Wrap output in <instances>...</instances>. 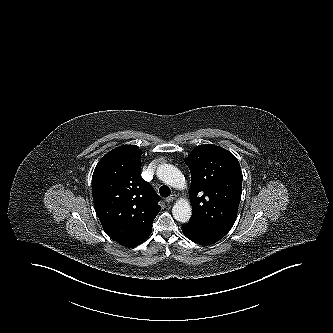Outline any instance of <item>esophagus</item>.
I'll return each mask as SVG.
<instances>
[{
	"label": "esophagus",
	"mask_w": 333,
	"mask_h": 333,
	"mask_svg": "<svg viewBox=\"0 0 333 333\" xmlns=\"http://www.w3.org/2000/svg\"><path fill=\"white\" fill-rule=\"evenodd\" d=\"M176 198H177V195H176V194H172V195H170L169 197L166 198V202H167V203H171V202H173Z\"/></svg>",
	"instance_id": "1"
}]
</instances>
